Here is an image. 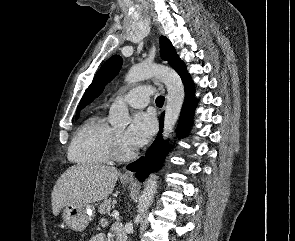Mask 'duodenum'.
I'll return each mask as SVG.
<instances>
[{"label": "duodenum", "mask_w": 295, "mask_h": 241, "mask_svg": "<svg viewBox=\"0 0 295 241\" xmlns=\"http://www.w3.org/2000/svg\"><path fill=\"white\" fill-rule=\"evenodd\" d=\"M116 241H127L126 237L124 234H116Z\"/></svg>", "instance_id": "410a0bca"}]
</instances>
